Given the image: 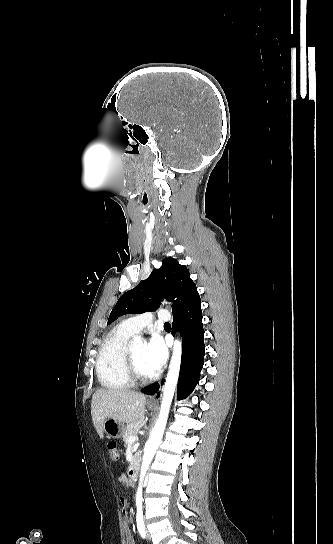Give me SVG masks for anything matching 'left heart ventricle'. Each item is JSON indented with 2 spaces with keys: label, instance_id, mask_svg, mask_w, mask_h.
<instances>
[{
  "label": "left heart ventricle",
  "instance_id": "obj_1",
  "mask_svg": "<svg viewBox=\"0 0 333 544\" xmlns=\"http://www.w3.org/2000/svg\"><path fill=\"white\" fill-rule=\"evenodd\" d=\"M131 351L139 372L142 375H151L152 371L147 367L144 361L145 345H136L131 347Z\"/></svg>",
  "mask_w": 333,
  "mask_h": 544
}]
</instances>
